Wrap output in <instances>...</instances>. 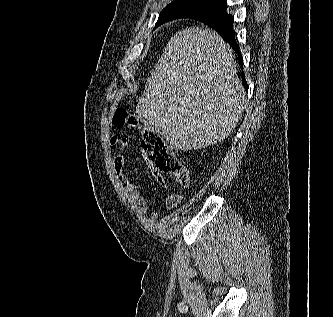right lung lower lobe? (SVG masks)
Returning <instances> with one entry per match:
<instances>
[{
  "label": "right lung lower lobe",
  "instance_id": "right-lung-lower-lobe-1",
  "mask_svg": "<svg viewBox=\"0 0 333 317\" xmlns=\"http://www.w3.org/2000/svg\"><path fill=\"white\" fill-rule=\"evenodd\" d=\"M226 9L227 6H224L219 10L206 14H200L191 18L201 21L204 24H207L208 26L214 28L225 39V41L230 44V46L235 50V52H237L239 57H241L239 45L236 43L235 39V31L233 30L234 18L232 15L226 13ZM242 82L245 89L248 90V84L244 77H242Z\"/></svg>",
  "mask_w": 333,
  "mask_h": 317
}]
</instances>
